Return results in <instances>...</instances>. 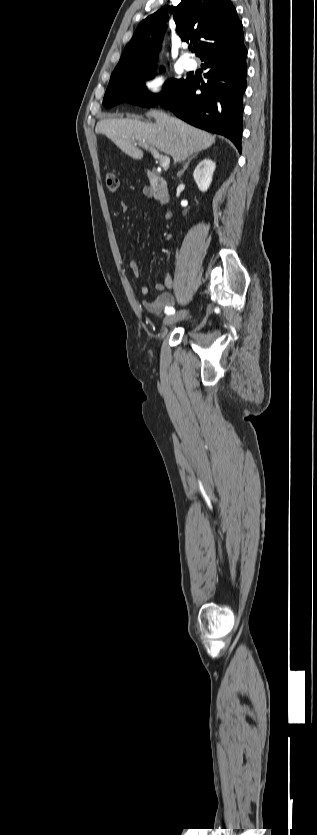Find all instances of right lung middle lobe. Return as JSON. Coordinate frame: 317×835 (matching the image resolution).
<instances>
[{
  "label": "right lung middle lobe",
  "instance_id": "obj_1",
  "mask_svg": "<svg viewBox=\"0 0 317 835\" xmlns=\"http://www.w3.org/2000/svg\"><path fill=\"white\" fill-rule=\"evenodd\" d=\"M155 69L156 67L148 70H114L104 96L103 105L110 108L119 103L128 102L143 107H152L157 105L164 97L186 85L191 79L190 77L170 79L165 82L164 90L161 93L152 94L147 91L144 79L154 77L153 71Z\"/></svg>",
  "mask_w": 317,
  "mask_h": 835
}]
</instances>
